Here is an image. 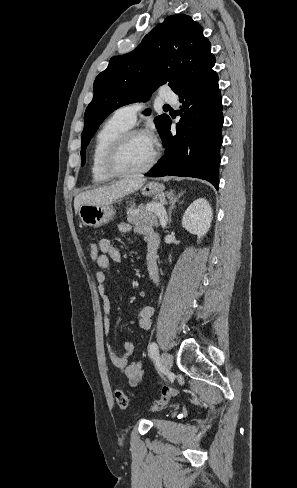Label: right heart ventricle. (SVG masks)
<instances>
[{
    "mask_svg": "<svg viewBox=\"0 0 297 488\" xmlns=\"http://www.w3.org/2000/svg\"><path fill=\"white\" fill-rule=\"evenodd\" d=\"M130 129L115 114L98 131L91 150V175L95 182L104 183L113 179L105 168V157L111 144L125 131Z\"/></svg>",
    "mask_w": 297,
    "mask_h": 488,
    "instance_id": "right-heart-ventricle-1",
    "label": "right heart ventricle"
}]
</instances>
